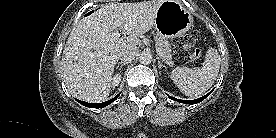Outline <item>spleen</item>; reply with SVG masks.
<instances>
[{"mask_svg":"<svg viewBox=\"0 0 276 138\" xmlns=\"http://www.w3.org/2000/svg\"><path fill=\"white\" fill-rule=\"evenodd\" d=\"M221 58L215 48H209L202 67H177L171 78L182 93L198 96L206 92L215 82L219 72Z\"/></svg>","mask_w":276,"mask_h":138,"instance_id":"1","label":"spleen"}]
</instances>
